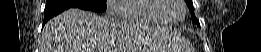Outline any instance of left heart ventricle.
Masks as SVG:
<instances>
[{
	"instance_id": "b2bd125f",
	"label": "left heart ventricle",
	"mask_w": 261,
	"mask_h": 52,
	"mask_svg": "<svg viewBox=\"0 0 261 52\" xmlns=\"http://www.w3.org/2000/svg\"><path fill=\"white\" fill-rule=\"evenodd\" d=\"M170 1L175 2L176 0H170ZM182 14H183V11H182L181 7L178 5H174L172 9L167 11L165 16L167 19L175 21V20L180 19Z\"/></svg>"
}]
</instances>
